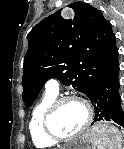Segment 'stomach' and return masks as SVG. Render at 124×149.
I'll list each match as a JSON object with an SVG mask.
<instances>
[{
  "label": "stomach",
  "instance_id": "1",
  "mask_svg": "<svg viewBox=\"0 0 124 149\" xmlns=\"http://www.w3.org/2000/svg\"><path fill=\"white\" fill-rule=\"evenodd\" d=\"M103 125L104 124H100L97 125L96 127H93L87 134L83 135L79 140L75 141L74 143H72L71 145H69L67 148L64 149H91L90 145H94L91 137Z\"/></svg>",
  "mask_w": 124,
  "mask_h": 149
}]
</instances>
